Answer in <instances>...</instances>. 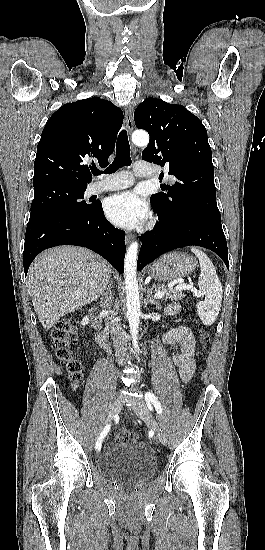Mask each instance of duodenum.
<instances>
[{"instance_id":"1","label":"duodenum","mask_w":265,"mask_h":550,"mask_svg":"<svg viewBox=\"0 0 265 550\" xmlns=\"http://www.w3.org/2000/svg\"><path fill=\"white\" fill-rule=\"evenodd\" d=\"M91 327L96 335L98 343L103 347L107 346V333L103 328L100 320L96 317V307H93L91 309Z\"/></svg>"}]
</instances>
